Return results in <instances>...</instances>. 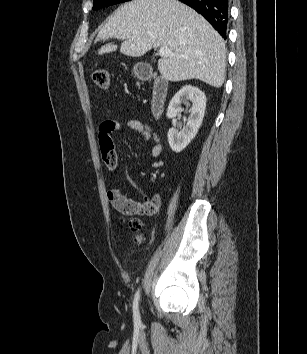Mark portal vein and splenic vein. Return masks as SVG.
I'll use <instances>...</instances> for the list:
<instances>
[{
  "instance_id": "18ae733b",
  "label": "portal vein and splenic vein",
  "mask_w": 307,
  "mask_h": 354,
  "mask_svg": "<svg viewBox=\"0 0 307 354\" xmlns=\"http://www.w3.org/2000/svg\"><path fill=\"white\" fill-rule=\"evenodd\" d=\"M158 52L161 57H169L176 55L175 53L171 52L168 47H161Z\"/></svg>"
}]
</instances>
